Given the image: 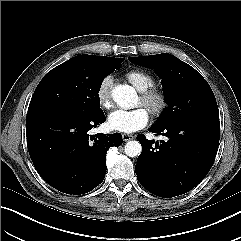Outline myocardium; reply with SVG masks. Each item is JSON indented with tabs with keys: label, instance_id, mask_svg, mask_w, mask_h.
I'll return each mask as SVG.
<instances>
[{
	"label": "myocardium",
	"instance_id": "f54148a6",
	"mask_svg": "<svg viewBox=\"0 0 241 241\" xmlns=\"http://www.w3.org/2000/svg\"><path fill=\"white\" fill-rule=\"evenodd\" d=\"M140 101L154 116H160L168 104L166 94L156 87L140 92Z\"/></svg>",
	"mask_w": 241,
	"mask_h": 241
}]
</instances>
